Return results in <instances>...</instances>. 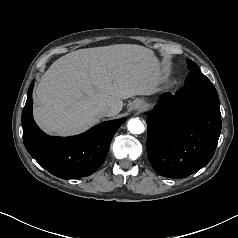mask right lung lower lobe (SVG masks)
<instances>
[{
	"label": "right lung lower lobe",
	"instance_id": "98d812e1",
	"mask_svg": "<svg viewBox=\"0 0 238 238\" xmlns=\"http://www.w3.org/2000/svg\"><path fill=\"white\" fill-rule=\"evenodd\" d=\"M22 112L23 141L29 154L51 174L73 179L94 173L104 162L111 140L125 118L103 122L73 137H51L43 133L32 116V90Z\"/></svg>",
	"mask_w": 238,
	"mask_h": 238
}]
</instances>
